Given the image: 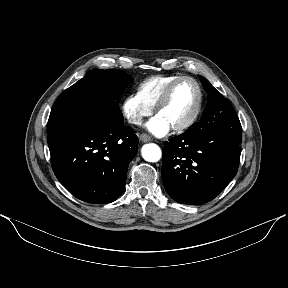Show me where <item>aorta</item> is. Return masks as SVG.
Returning a JSON list of instances; mask_svg holds the SVG:
<instances>
[{"mask_svg": "<svg viewBox=\"0 0 288 288\" xmlns=\"http://www.w3.org/2000/svg\"><path fill=\"white\" fill-rule=\"evenodd\" d=\"M141 154L144 160L148 162H158L162 156L160 147L154 143L145 144Z\"/></svg>", "mask_w": 288, "mask_h": 288, "instance_id": "obj_1", "label": "aorta"}]
</instances>
